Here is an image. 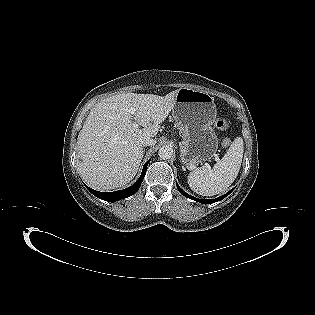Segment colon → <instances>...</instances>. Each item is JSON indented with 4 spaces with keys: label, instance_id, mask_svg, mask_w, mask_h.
<instances>
[{
    "label": "colon",
    "instance_id": "1",
    "mask_svg": "<svg viewBox=\"0 0 315 315\" xmlns=\"http://www.w3.org/2000/svg\"><path fill=\"white\" fill-rule=\"evenodd\" d=\"M215 127L220 131L226 130L228 128V121L225 118L220 117L215 121ZM230 144L231 141L228 138H223L221 140V145L223 147H228Z\"/></svg>",
    "mask_w": 315,
    "mask_h": 315
}]
</instances>
